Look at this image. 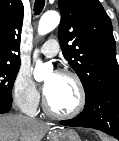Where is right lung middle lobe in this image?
<instances>
[{
    "mask_svg": "<svg viewBox=\"0 0 119 141\" xmlns=\"http://www.w3.org/2000/svg\"><path fill=\"white\" fill-rule=\"evenodd\" d=\"M20 64L0 63V101L12 103V88Z\"/></svg>",
    "mask_w": 119,
    "mask_h": 141,
    "instance_id": "right-lung-middle-lobe-1",
    "label": "right lung middle lobe"
}]
</instances>
